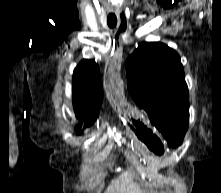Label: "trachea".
I'll use <instances>...</instances> for the list:
<instances>
[{
  "mask_svg": "<svg viewBox=\"0 0 221 193\" xmlns=\"http://www.w3.org/2000/svg\"><path fill=\"white\" fill-rule=\"evenodd\" d=\"M107 24L110 28H114L117 24V17L115 14H109L107 17Z\"/></svg>",
  "mask_w": 221,
  "mask_h": 193,
  "instance_id": "3493384b",
  "label": "trachea"
}]
</instances>
